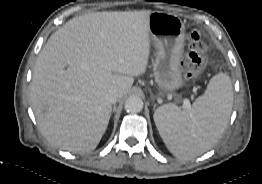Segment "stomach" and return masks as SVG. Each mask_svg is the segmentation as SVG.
Returning a JSON list of instances; mask_svg holds the SVG:
<instances>
[{"label": "stomach", "mask_w": 262, "mask_h": 184, "mask_svg": "<svg viewBox=\"0 0 262 184\" xmlns=\"http://www.w3.org/2000/svg\"><path fill=\"white\" fill-rule=\"evenodd\" d=\"M148 27L150 39L156 50L153 67L155 82L161 96L173 93L184 84L181 59L185 25L177 15L154 11L148 18Z\"/></svg>", "instance_id": "stomach-1"}]
</instances>
